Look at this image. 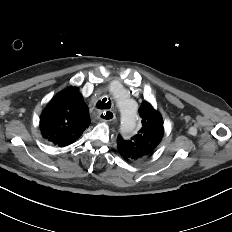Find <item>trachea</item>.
Here are the masks:
<instances>
[{
	"label": "trachea",
	"instance_id": "trachea-1",
	"mask_svg": "<svg viewBox=\"0 0 232 232\" xmlns=\"http://www.w3.org/2000/svg\"><path fill=\"white\" fill-rule=\"evenodd\" d=\"M96 107L98 109H110L111 107V101L107 98H103L102 100H99L96 104Z\"/></svg>",
	"mask_w": 232,
	"mask_h": 232
}]
</instances>
